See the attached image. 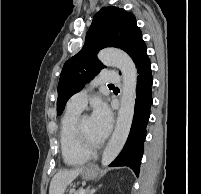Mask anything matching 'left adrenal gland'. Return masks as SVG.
Returning <instances> with one entry per match:
<instances>
[{"label": "left adrenal gland", "mask_w": 201, "mask_h": 194, "mask_svg": "<svg viewBox=\"0 0 201 194\" xmlns=\"http://www.w3.org/2000/svg\"><path fill=\"white\" fill-rule=\"evenodd\" d=\"M97 189H87V193L86 194H94L96 192Z\"/></svg>", "instance_id": "left-adrenal-gland-1"}]
</instances>
